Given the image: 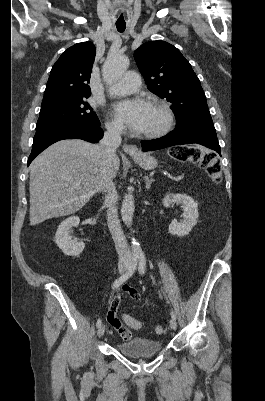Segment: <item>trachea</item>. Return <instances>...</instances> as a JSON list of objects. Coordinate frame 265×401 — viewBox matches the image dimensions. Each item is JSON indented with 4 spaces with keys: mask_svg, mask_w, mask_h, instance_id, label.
Segmentation results:
<instances>
[{
    "mask_svg": "<svg viewBox=\"0 0 265 401\" xmlns=\"http://www.w3.org/2000/svg\"><path fill=\"white\" fill-rule=\"evenodd\" d=\"M116 27H117V30L122 33L126 29V23L125 22H116Z\"/></svg>",
    "mask_w": 265,
    "mask_h": 401,
    "instance_id": "obj_1",
    "label": "trachea"
}]
</instances>
